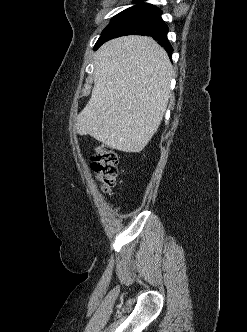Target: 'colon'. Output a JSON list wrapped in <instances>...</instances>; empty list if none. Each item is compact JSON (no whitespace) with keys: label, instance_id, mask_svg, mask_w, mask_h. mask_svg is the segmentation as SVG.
<instances>
[{"label":"colon","instance_id":"colon-1","mask_svg":"<svg viewBox=\"0 0 247 332\" xmlns=\"http://www.w3.org/2000/svg\"><path fill=\"white\" fill-rule=\"evenodd\" d=\"M91 168L100 182L102 189L109 192L116 183L118 176V156L106 145H99L95 149Z\"/></svg>","mask_w":247,"mask_h":332}]
</instances>
